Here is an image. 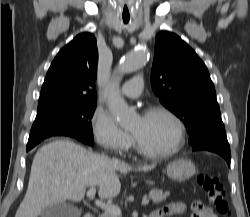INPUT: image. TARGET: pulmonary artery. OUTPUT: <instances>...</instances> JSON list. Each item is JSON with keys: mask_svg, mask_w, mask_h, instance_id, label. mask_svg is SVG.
<instances>
[{"mask_svg": "<svg viewBox=\"0 0 250 217\" xmlns=\"http://www.w3.org/2000/svg\"><path fill=\"white\" fill-rule=\"evenodd\" d=\"M142 87H143L142 76H136L124 83V85L121 88V94L129 98H136L141 94Z\"/></svg>", "mask_w": 250, "mask_h": 217, "instance_id": "1", "label": "pulmonary artery"}]
</instances>
